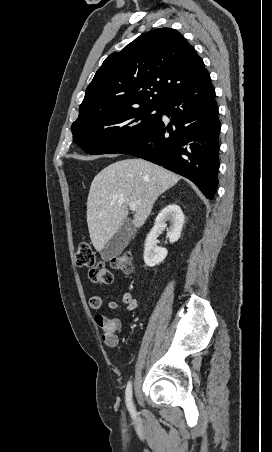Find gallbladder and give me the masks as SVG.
I'll use <instances>...</instances> for the list:
<instances>
[{
	"mask_svg": "<svg viewBox=\"0 0 272 452\" xmlns=\"http://www.w3.org/2000/svg\"><path fill=\"white\" fill-rule=\"evenodd\" d=\"M135 230L131 219L125 220L113 237L105 244L101 251V257L104 261L118 256L127 247L130 238Z\"/></svg>",
	"mask_w": 272,
	"mask_h": 452,
	"instance_id": "bac80fb5",
	"label": "gallbladder"
}]
</instances>
